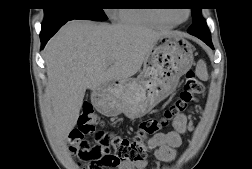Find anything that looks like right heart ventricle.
<instances>
[{
	"instance_id": "1",
	"label": "right heart ventricle",
	"mask_w": 252,
	"mask_h": 169,
	"mask_svg": "<svg viewBox=\"0 0 252 169\" xmlns=\"http://www.w3.org/2000/svg\"><path fill=\"white\" fill-rule=\"evenodd\" d=\"M119 23L127 25L145 26L160 29H168L172 24L165 22L151 12L144 9L118 8L114 11Z\"/></svg>"
}]
</instances>
